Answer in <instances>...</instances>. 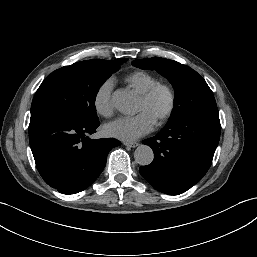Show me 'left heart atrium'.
I'll use <instances>...</instances> for the list:
<instances>
[{
	"mask_svg": "<svg viewBox=\"0 0 257 257\" xmlns=\"http://www.w3.org/2000/svg\"><path fill=\"white\" fill-rule=\"evenodd\" d=\"M156 122L147 113L122 117L105 125V134L123 141H135L154 130Z\"/></svg>",
	"mask_w": 257,
	"mask_h": 257,
	"instance_id": "left-heart-atrium-1",
	"label": "left heart atrium"
}]
</instances>
